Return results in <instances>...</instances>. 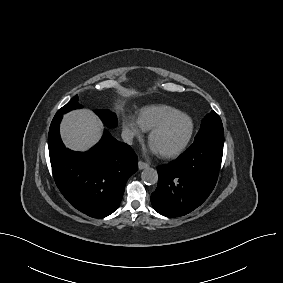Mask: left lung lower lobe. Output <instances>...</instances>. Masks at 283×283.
<instances>
[{
	"instance_id": "0a47b994",
	"label": "left lung lower lobe",
	"mask_w": 283,
	"mask_h": 283,
	"mask_svg": "<svg viewBox=\"0 0 283 283\" xmlns=\"http://www.w3.org/2000/svg\"><path fill=\"white\" fill-rule=\"evenodd\" d=\"M223 145L196 140L176 160L159 166L157 189L151 195L153 208L163 216L179 217L199 207L217 182Z\"/></svg>"
}]
</instances>
